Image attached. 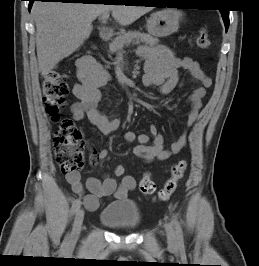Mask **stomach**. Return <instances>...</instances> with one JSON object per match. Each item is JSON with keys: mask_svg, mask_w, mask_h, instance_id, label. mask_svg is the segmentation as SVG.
Returning <instances> with one entry per match:
<instances>
[{"mask_svg": "<svg viewBox=\"0 0 259 266\" xmlns=\"http://www.w3.org/2000/svg\"><path fill=\"white\" fill-rule=\"evenodd\" d=\"M182 12L177 10H161L151 14L147 21V31L154 37H167L179 28Z\"/></svg>", "mask_w": 259, "mask_h": 266, "instance_id": "obj_1", "label": "stomach"}]
</instances>
